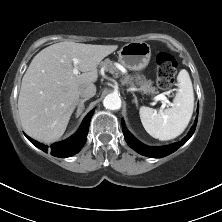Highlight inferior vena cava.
Instances as JSON below:
<instances>
[{
  "label": "inferior vena cava",
  "instance_id": "602c4592",
  "mask_svg": "<svg viewBox=\"0 0 222 222\" xmlns=\"http://www.w3.org/2000/svg\"><path fill=\"white\" fill-rule=\"evenodd\" d=\"M96 94V87L93 83L82 86L79 89V96L82 98H91Z\"/></svg>",
  "mask_w": 222,
  "mask_h": 222
}]
</instances>
